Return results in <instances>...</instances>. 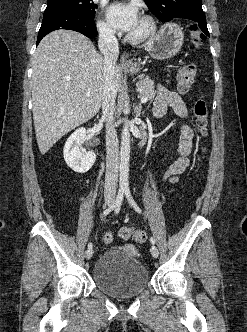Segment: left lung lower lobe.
Instances as JSON below:
<instances>
[{
    "label": "left lung lower lobe",
    "instance_id": "1",
    "mask_svg": "<svg viewBox=\"0 0 247 332\" xmlns=\"http://www.w3.org/2000/svg\"><path fill=\"white\" fill-rule=\"evenodd\" d=\"M191 22L193 23V26H195L196 28H198L199 30H201L203 32V34H202L203 39H205L207 36L210 37L208 29H207L206 18L205 19H194V20H191Z\"/></svg>",
    "mask_w": 247,
    "mask_h": 332
}]
</instances>
